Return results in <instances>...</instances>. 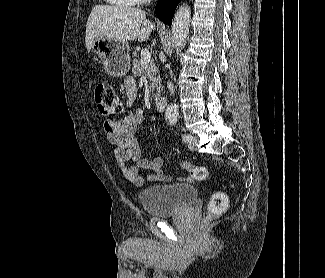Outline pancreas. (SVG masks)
<instances>
[{"label":"pancreas","instance_id":"obj_1","mask_svg":"<svg viewBox=\"0 0 325 278\" xmlns=\"http://www.w3.org/2000/svg\"><path fill=\"white\" fill-rule=\"evenodd\" d=\"M132 72L135 77H140L144 75L149 81V93L154 97L157 98V95L155 94V89L158 91V94L160 93L162 86H161V79L158 74V69L155 66L154 63H147L144 64L140 60H137L136 58L132 61Z\"/></svg>","mask_w":325,"mask_h":278}]
</instances>
